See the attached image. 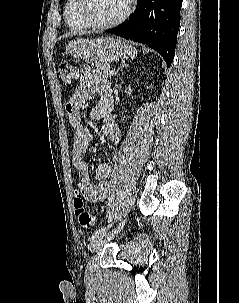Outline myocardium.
<instances>
[{"instance_id": "myocardium-1", "label": "myocardium", "mask_w": 239, "mask_h": 303, "mask_svg": "<svg viewBox=\"0 0 239 303\" xmlns=\"http://www.w3.org/2000/svg\"><path fill=\"white\" fill-rule=\"evenodd\" d=\"M89 4L90 0H79L77 5V15L83 24L93 29H107L117 26L124 22L133 10V0H127L126 9L119 17L109 22L98 23L93 21L88 15Z\"/></svg>"}]
</instances>
